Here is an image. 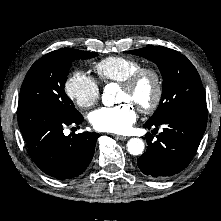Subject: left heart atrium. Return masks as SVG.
I'll list each match as a JSON object with an SVG mask.
<instances>
[{
    "label": "left heart atrium",
    "instance_id": "39dd6f15",
    "mask_svg": "<svg viewBox=\"0 0 221 221\" xmlns=\"http://www.w3.org/2000/svg\"><path fill=\"white\" fill-rule=\"evenodd\" d=\"M136 111L129 102L113 107H102L90 114V122L99 131L126 133L136 121Z\"/></svg>",
    "mask_w": 221,
    "mask_h": 221
}]
</instances>
